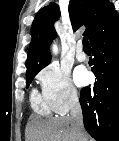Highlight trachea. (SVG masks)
<instances>
[{
    "instance_id": "3493384b",
    "label": "trachea",
    "mask_w": 119,
    "mask_h": 141,
    "mask_svg": "<svg viewBox=\"0 0 119 141\" xmlns=\"http://www.w3.org/2000/svg\"><path fill=\"white\" fill-rule=\"evenodd\" d=\"M83 47H84V49H91V46L89 44V41H88L87 37L83 38Z\"/></svg>"
}]
</instances>
